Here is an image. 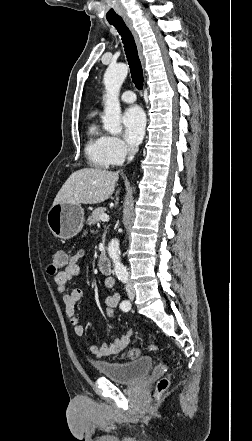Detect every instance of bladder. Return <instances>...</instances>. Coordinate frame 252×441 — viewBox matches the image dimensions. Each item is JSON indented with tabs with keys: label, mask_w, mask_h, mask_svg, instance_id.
<instances>
[{
	"label": "bladder",
	"mask_w": 252,
	"mask_h": 441,
	"mask_svg": "<svg viewBox=\"0 0 252 441\" xmlns=\"http://www.w3.org/2000/svg\"><path fill=\"white\" fill-rule=\"evenodd\" d=\"M104 377L120 384H133L146 377L153 367L150 356H142L131 362H102L95 365Z\"/></svg>",
	"instance_id": "bladder-1"
}]
</instances>
